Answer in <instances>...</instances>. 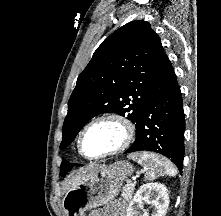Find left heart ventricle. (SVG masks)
Segmentation results:
<instances>
[{
  "label": "left heart ventricle",
  "mask_w": 221,
  "mask_h": 216,
  "mask_svg": "<svg viewBox=\"0 0 221 216\" xmlns=\"http://www.w3.org/2000/svg\"><path fill=\"white\" fill-rule=\"evenodd\" d=\"M122 132L113 122H100L92 126L83 138L82 148L86 155L94 156L116 147Z\"/></svg>",
  "instance_id": "b2bd125f"
}]
</instances>
